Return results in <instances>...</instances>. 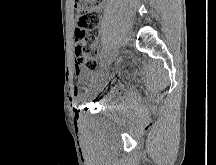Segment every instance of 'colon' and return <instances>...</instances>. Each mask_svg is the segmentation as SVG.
<instances>
[{"instance_id": "colon-1", "label": "colon", "mask_w": 216, "mask_h": 165, "mask_svg": "<svg viewBox=\"0 0 216 165\" xmlns=\"http://www.w3.org/2000/svg\"><path fill=\"white\" fill-rule=\"evenodd\" d=\"M103 0H75L78 13L74 32L75 62L78 68L95 71L99 68V53L96 41L99 35V7Z\"/></svg>"}]
</instances>
